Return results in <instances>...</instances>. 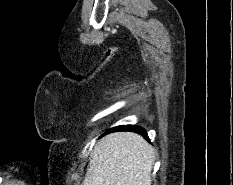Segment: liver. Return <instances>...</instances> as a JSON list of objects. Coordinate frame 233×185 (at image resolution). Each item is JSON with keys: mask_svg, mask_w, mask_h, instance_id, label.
<instances>
[{"mask_svg": "<svg viewBox=\"0 0 233 185\" xmlns=\"http://www.w3.org/2000/svg\"><path fill=\"white\" fill-rule=\"evenodd\" d=\"M154 148L133 132L102 138L92 151L82 185H151Z\"/></svg>", "mask_w": 233, "mask_h": 185, "instance_id": "liver-1", "label": "liver"}]
</instances>
